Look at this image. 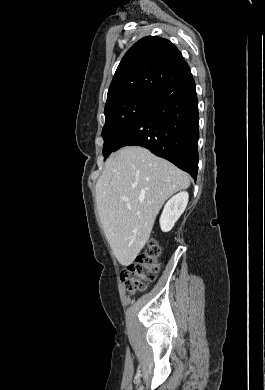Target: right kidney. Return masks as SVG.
<instances>
[{
  "instance_id": "1",
  "label": "right kidney",
  "mask_w": 265,
  "mask_h": 390,
  "mask_svg": "<svg viewBox=\"0 0 265 390\" xmlns=\"http://www.w3.org/2000/svg\"><path fill=\"white\" fill-rule=\"evenodd\" d=\"M188 198V193L183 191L167 201L160 217V227L163 232H169L173 228L175 222L184 212Z\"/></svg>"
}]
</instances>
